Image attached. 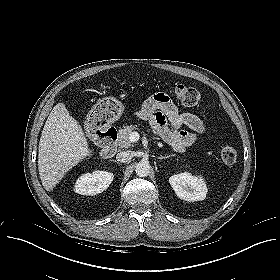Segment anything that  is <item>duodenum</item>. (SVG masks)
<instances>
[{"instance_id":"obj_1","label":"duodenum","mask_w":280,"mask_h":280,"mask_svg":"<svg viewBox=\"0 0 280 280\" xmlns=\"http://www.w3.org/2000/svg\"><path fill=\"white\" fill-rule=\"evenodd\" d=\"M99 138L102 141V147L100 154L103 158H110L115 153L116 140L118 137L117 127L114 125H109L102 129L99 134Z\"/></svg>"}]
</instances>
